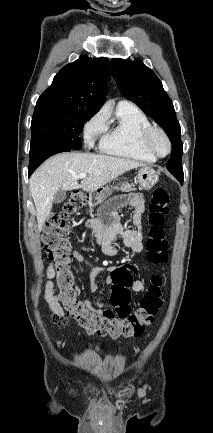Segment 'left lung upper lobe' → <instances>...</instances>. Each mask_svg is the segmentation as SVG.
<instances>
[{
  "instance_id": "obj_1",
  "label": "left lung upper lobe",
  "mask_w": 213,
  "mask_h": 433,
  "mask_svg": "<svg viewBox=\"0 0 213 433\" xmlns=\"http://www.w3.org/2000/svg\"><path fill=\"white\" fill-rule=\"evenodd\" d=\"M111 67L117 78L121 94L136 103L168 135L173 149L167 169L177 179L183 178L181 128L172 100L164 91L161 81L140 60L112 59Z\"/></svg>"
}]
</instances>
